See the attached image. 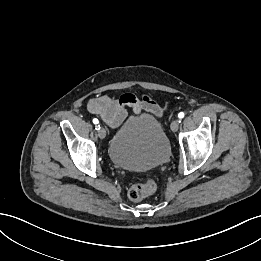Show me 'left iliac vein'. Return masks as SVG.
<instances>
[{
    "instance_id": "1",
    "label": "left iliac vein",
    "mask_w": 261,
    "mask_h": 261,
    "mask_svg": "<svg viewBox=\"0 0 261 261\" xmlns=\"http://www.w3.org/2000/svg\"><path fill=\"white\" fill-rule=\"evenodd\" d=\"M179 125H180V121H179V120H174V121L171 123V125H170L171 130H172L173 132H176V131L178 130V128H179Z\"/></svg>"
}]
</instances>
